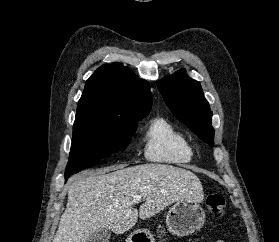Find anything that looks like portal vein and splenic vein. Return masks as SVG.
I'll return each mask as SVG.
<instances>
[{
	"instance_id": "portal-vein-and-splenic-vein-1",
	"label": "portal vein and splenic vein",
	"mask_w": 279,
	"mask_h": 242,
	"mask_svg": "<svg viewBox=\"0 0 279 242\" xmlns=\"http://www.w3.org/2000/svg\"><path fill=\"white\" fill-rule=\"evenodd\" d=\"M142 200V196L136 195L133 197V203H138Z\"/></svg>"
}]
</instances>
